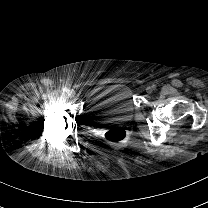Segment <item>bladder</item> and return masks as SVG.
Masks as SVG:
<instances>
[{
  "label": "bladder",
  "mask_w": 208,
  "mask_h": 208,
  "mask_svg": "<svg viewBox=\"0 0 208 208\" xmlns=\"http://www.w3.org/2000/svg\"><path fill=\"white\" fill-rule=\"evenodd\" d=\"M131 90L122 84H113L94 91L89 116H123L132 114Z\"/></svg>",
  "instance_id": "bladder-1"
}]
</instances>
